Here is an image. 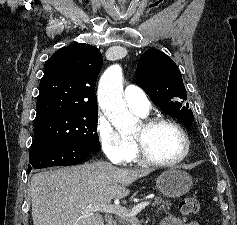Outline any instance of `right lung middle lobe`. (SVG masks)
<instances>
[{"instance_id":"dd1d6c3e","label":"right lung middle lobe","mask_w":237,"mask_h":225,"mask_svg":"<svg viewBox=\"0 0 237 225\" xmlns=\"http://www.w3.org/2000/svg\"><path fill=\"white\" fill-rule=\"evenodd\" d=\"M97 122L98 111L69 113L36 120L34 138L57 140L97 152L100 150L96 133Z\"/></svg>"}]
</instances>
